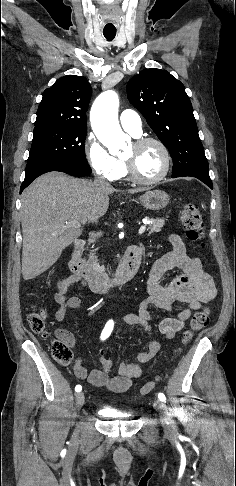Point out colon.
I'll list each match as a JSON object with an SVG mask.
<instances>
[{"mask_svg":"<svg viewBox=\"0 0 236 486\" xmlns=\"http://www.w3.org/2000/svg\"><path fill=\"white\" fill-rule=\"evenodd\" d=\"M180 220L186 231V236L191 241H200L204 236V221L200 208L194 203H187L180 212ZM210 320V310L204 308L196 312L190 321V327L182 335V343H189L194 334L206 327ZM29 326L33 332L45 335L46 321L45 313L42 310H33L28 316ZM52 354L54 359L61 365H68L73 357L72 350L67 342L57 338L52 343ZM156 386V381H150L141 387L139 393L144 396L149 394Z\"/></svg>","mask_w":236,"mask_h":486,"instance_id":"1","label":"colon"}]
</instances>
